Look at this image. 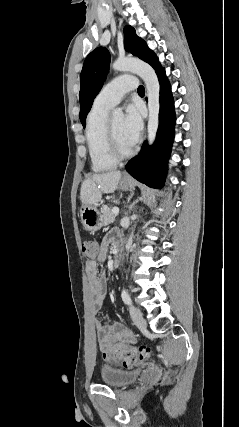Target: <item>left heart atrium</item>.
Wrapping results in <instances>:
<instances>
[{
    "instance_id": "left-heart-atrium-1",
    "label": "left heart atrium",
    "mask_w": 239,
    "mask_h": 427,
    "mask_svg": "<svg viewBox=\"0 0 239 427\" xmlns=\"http://www.w3.org/2000/svg\"><path fill=\"white\" fill-rule=\"evenodd\" d=\"M141 109L137 105H128L123 119V132L126 139L134 146L142 131Z\"/></svg>"
}]
</instances>
